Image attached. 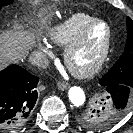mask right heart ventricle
I'll list each match as a JSON object with an SVG mask.
<instances>
[{"instance_id": "1", "label": "right heart ventricle", "mask_w": 133, "mask_h": 133, "mask_svg": "<svg viewBox=\"0 0 133 133\" xmlns=\"http://www.w3.org/2000/svg\"><path fill=\"white\" fill-rule=\"evenodd\" d=\"M94 18L87 13H74L53 26L48 32V38L56 46L66 47L82 28Z\"/></svg>"}]
</instances>
